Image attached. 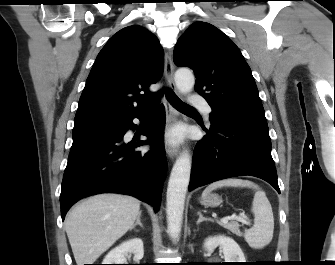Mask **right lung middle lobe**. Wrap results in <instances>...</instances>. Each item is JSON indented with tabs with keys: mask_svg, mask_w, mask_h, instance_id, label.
Wrapping results in <instances>:
<instances>
[{
	"mask_svg": "<svg viewBox=\"0 0 335 265\" xmlns=\"http://www.w3.org/2000/svg\"><path fill=\"white\" fill-rule=\"evenodd\" d=\"M116 124H88L74 126L72 137H80L98 132H105L112 129Z\"/></svg>",
	"mask_w": 335,
	"mask_h": 265,
	"instance_id": "right-lung-middle-lobe-1",
	"label": "right lung middle lobe"
}]
</instances>
